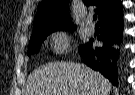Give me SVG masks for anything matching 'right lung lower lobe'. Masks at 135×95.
<instances>
[{"instance_id":"98d812e1","label":"right lung lower lobe","mask_w":135,"mask_h":95,"mask_svg":"<svg viewBox=\"0 0 135 95\" xmlns=\"http://www.w3.org/2000/svg\"><path fill=\"white\" fill-rule=\"evenodd\" d=\"M101 26V35L99 41L103 42L102 47H92V41L79 48V54L83 61L95 71H99L109 79L114 85H117V72L110 63V58H116V52L112 45L120 39L123 30L122 16L116 19L104 21Z\"/></svg>"}]
</instances>
